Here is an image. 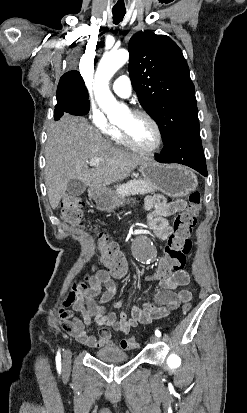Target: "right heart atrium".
<instances>
[{
    "instance_id": "right-heart-atrium-1",
    "label": "right heart atrium",
    "mask_w": 247,
    "mask_h": 413,
    "mask_svg": "<svg viewBox=\"0 0 247 413\" xmlns=\"http://www.w3.org/2000/svg\"><path fill=\"white\" fill-rule=\"evenodd\" d=\"M89 117L93 119V123L98 133L111 134L115 130L119 131V128L111 125L106 120V116L103 115V111L99 105H92L90 107Z\"/></svg>"
}]
</instances>
